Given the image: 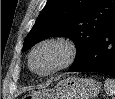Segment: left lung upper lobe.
I'll use <instances>...</instances> for the list:
<instances>
[{"instance_id": "left-lung-upper-lobe-1", "label": "left lung upper lobe", "mask_w": 115, "mask_h": 99, "mask_svg": "<svg viewBox=\"0 0 115 99\" xmlns=\"http://www.w3.org/2000/svg\"><path fill=\"white\" fill-rule=\"evenodd\" d=\"M114 21L115 0H48L25 38L22 51L48 37H68L77 48L73 67L96 45Z\"/></svg>"}]
</instances>
